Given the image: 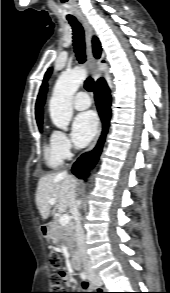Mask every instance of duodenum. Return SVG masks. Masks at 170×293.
Instances as JSON below:
<instances>
[{"label": "duodenum", "mask_w": 170, "mask_h": 293, "mask_svg": "<svg viewBox=\"0 0 170 293\" xmlns=\"http://www.w3.org/2000/svg\"><path fill=\"white\" fill-rule=\"evenodd\" d=\"M41 234L43 237H48L49 236V228L47 226H42L41 227ZM79 255L77 251H74L73 257H72V266L74 269L78 270L80 268L79 265Z\"/></svg>", "instance_id": "410a0bca"}]
</instances>
